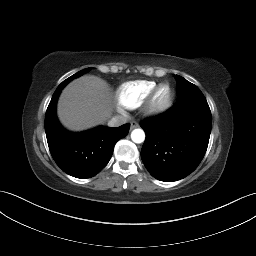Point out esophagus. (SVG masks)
I'll return each mask as SVG.
<instances>
[{
    "label": "esophagus",
    "instance_id": "obj_1",
    "mask_svg": "<svg viewBox=\"0 0 256 256\" xmlns=\"http://www.w3.org/2000/svg\"><path fill=\"white\" fill-rule=\"evenodd\" d=\"M138 126H139V124H138L137 122H135V121H132V122L130 123V129L137 128Z\"/></svg>",
    "mask_w": 256,
    "mask_h": 256
}]
</instances>
